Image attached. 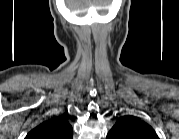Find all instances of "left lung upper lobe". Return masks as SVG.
I'll return each instance as SVG.
<instances>
[{
	"mask_svg": "<svg viewBox=\"0 0 179 139\" xmlns=\"http://www.w3.org/2000/svg\"><path fill=\"white\" fill-rule=\"evenodd\" d=\"M108 139H158L153 128L147 123L125 116L119 119L109 131Z\"/></svg>",
	"mask_w": 179,
	"mask_h": 139,
	"instance_id": "obj_1",
	"label": "left lung upper lobe"
}]
</instances>
